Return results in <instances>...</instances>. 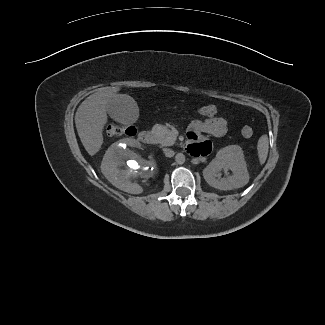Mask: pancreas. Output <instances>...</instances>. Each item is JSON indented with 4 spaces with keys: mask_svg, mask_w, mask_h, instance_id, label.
<instances>
[{
    "mask_svg": "<svg viewBox=\"0 0 325 325\" xmlns=\"http://www.w3.org/2000/svg\"><path fill=\"white\" fill-rule=\"evenodd\" d=\"M152 133L155 136L156 142L162 146H170L175 143L176 136H174L166 126L156 124L152 128Z\"/></svg>",
    "mask_w": 325,
    "mask_h": 325,
    "instance_id": "pancreas-1",
    "label": "pancreas"
}]
</instances>
